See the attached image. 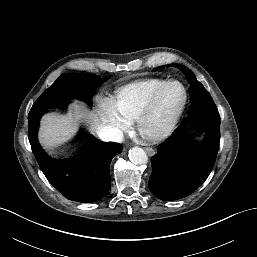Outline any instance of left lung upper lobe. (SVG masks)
I'll return each instance as SVG.
<instances>
[{
	"label": "left lung upper lobe",
	"mask_w": 257,
	"mask_h": 257,
	"mask_svg": "<svg viewBox=\"0 0 257 257\" xmlns=\"http://www.w3.org/2000/svg\"><path fill=\"white\" fill-rule=\"evenodd\" d=\"M171 66L180 69L191 85L192 106L188 121L196 120L203 125L205 123H220L219 113L213 99L204 86L196 79L192 71L180 64H171ZM176 131L181 132L180 128L176 129Z\"/></svg>",
	"instance_id": "5c2ea615"
}]
</instances>
